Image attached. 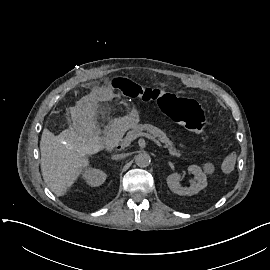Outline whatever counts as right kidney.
Wrapping results in <instances>:
<instances>
[{
	"label": "right kidney",
	"instance_id": "ca27d5eb",
	"mask_svg": "<svg viewBox=\"0 0 270 270\" xmlns=\"http://www.w3.org/2000/svg\"><path fill=\"white\" fill-rule=\"evenodd\" d=\"M87 182L93 186H99L106 179L105 173L100 170H90L86 175Z\"/></svg>",
	"mask_w": 270,
	"mask_h": 270
}]
</instances>
